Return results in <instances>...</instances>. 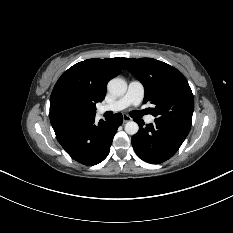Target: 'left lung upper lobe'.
I'll return each mask as SVG.
<instances>
[{
	"label": "left lung upper lobe",
	"mask_w": 233,
	"mask_h": 233,
	"mask_svg": "<svg viewBox=\"0 0 233 233\" xmlns=\"http://www.w3.org/2000/svg\"><path fill=\"white\" fill-rule=\"evenodd\" d=\"M127 69L145 88L144 103L151 102L156 119L191 128L194 98L184 75L152 58H122Z\"/></svg>",
	"instance_id": "left-lung-upper-lobe-1"
}]
</instances>
